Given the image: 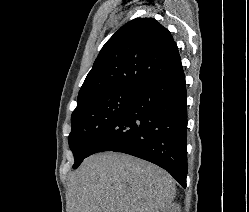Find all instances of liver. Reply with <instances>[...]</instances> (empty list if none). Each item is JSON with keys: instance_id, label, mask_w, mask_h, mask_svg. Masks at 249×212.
<instances>
[{"instance_id": "1", "label": "liver", "mask_w": 249, "mask_h": 212, "mask_svg": "<svg viewBox=\"0 0 249 212\" xmlns=\"http://www.w3.org/2000/svg\"><path fill=\"white\" fill-rule=\"evenodd\" d=\"M68 212H158L175 198L172 176L128 154H94L70 178Z\"/></svg>"}]
</instances>
